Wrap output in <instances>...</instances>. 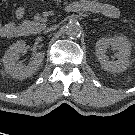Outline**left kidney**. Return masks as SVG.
<instances>
[{"mask_svg":"<svg viewBox=\"0 0 135 135\" xmlns=\"http://www.w3.org/2000/svg\"><path fill=\"white\" fill-rule=\"evenodd\" d=\"M109 48L118 51V59L116 61H111L109 56L105 54ZM95 50L101 67L106 71L120 73L125 71L130 64L131 44L126 37L115 36L113 38H102L97 41Z\"/></svg>","mask_w":135,"mask_h":135,"instance_id":"5707ae66","label":"left kidney"}]
</instances>
